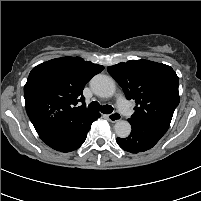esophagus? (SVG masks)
<instances>
[{"label":"esophagus","instance_id":"1","mask_svg":"<svg viewBox=\"0 0 201 201\" xmlns=\"http://www.w3.org/2000/svg\"><path fill=\"white\" fill-rule=\"evenodd\" d=\"M106 117L112 123H115L121 120V115L118 112H113L111 114H108Z\"/></svg>","mask_w":201,"mask_h":201}]
</instances>
